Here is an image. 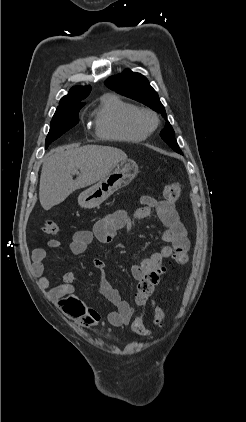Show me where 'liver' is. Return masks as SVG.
I'll return each instance as SVG.
<instances>
[{
    "label": "liver",
    "mask_w": 246,
    "mask_h": 422,
    "mask_svg": "<svg viewBox=\"0 0 246 422\" xmlns=\"http://www.w3.org/2000/svg\"><path fill=\"white\" fill-rule=\"evenodd\" d=\"M127 159L124 151L106 146L75 145L53 149L45 159L39 185V200L44 210L63 202L77 189L104 178L118 162ZM79 170L76 180L72 175Z\"/></svg>",
    "instance_id": "6515ba94"
}]
</instances>
